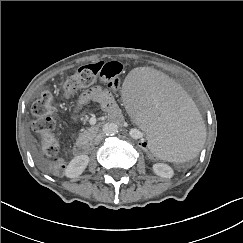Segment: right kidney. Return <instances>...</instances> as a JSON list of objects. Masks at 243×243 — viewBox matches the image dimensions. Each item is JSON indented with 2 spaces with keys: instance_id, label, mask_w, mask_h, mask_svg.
I'll list each match as a JSON object with an SVG mask.
<instances>
[{
  "instance_id": "obj_1",
  "label": "right kidney",
  "mask_w": 243,
  "mask_h": 243,
  "mask_svg": "<svg viewBox=\"0 0 243 243\" xmlns=\"http://www.w3.org/2000/svg\"><path fill=\"white\" fill-rule=\"evenodd\" d=\"M88 163L89 157L87 155H79L74 157L67 166L65 175L69 178H74L81 175Z\"/></svg>"
}]
</instances>
